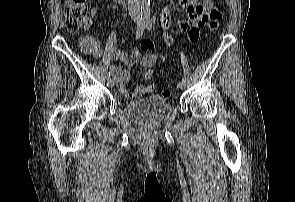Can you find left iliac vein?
<instances>
[{
	"instance_id": "4c4485c4",
	"label": "left iliac vein",
	"mask_w": 295,
	"mask_h": 202,
	"mask_svg": "<svg viewBox=\"0 0 295 202\" xmlns=\"http://www.w3.org/2000/svg\"><path fill=\"white\" fill-rule=\"evenodd\" d=\"M186 81L185 80H182L179 82L178 86L180 89H185L186 88Z\"/></svg>"
}]
</instances>
